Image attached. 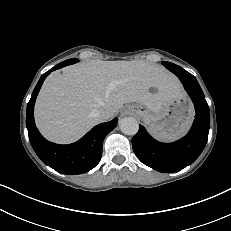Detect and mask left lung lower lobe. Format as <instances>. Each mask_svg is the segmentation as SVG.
Listing matches in <instances>:
<instances>
[{
    "label": "left lung lower lobe",
    "mask_w": 231,
    "mask_h": 231,
    "mask_svg": "<svg viewBox=\"0 0 231 231\" xmlns=\"http://www.w3.org/2000/svg\"><path fill=\"white\" fill-rule=\"evenodd\" d=\"M178 76L195 106V120L188 134L174 143L154 140L140 125L132 138L137 158L145 165L163 173L177 172L192 164L203 151L208 140L210 111L196 78L183 68H168Z\"/></svg>",
    "instance_id": "left-lung-lower-lobe-1"
}]
</instances>
